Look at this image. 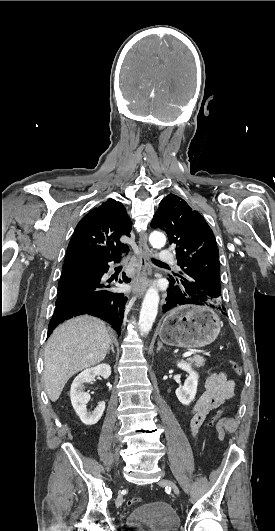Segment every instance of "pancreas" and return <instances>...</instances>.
<instances>
[{
    "mask_svg": "<svg viewBox=\"0 0 275 531\" xmlns=\"http://www.w3.org/2000/svg\"><path fill=\"white\" fill-rule=\"evenodd\" d=\"M187 361L194 363L195 367H203L205 365V359L204 357H200V355H194V357H190Z\"/></svg>",
    "mask_w": 275,
    "mask_h": 531,
    "instance_id": "obj_1",
    "label": "pancreas"
}]
</instances>
